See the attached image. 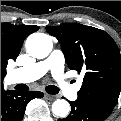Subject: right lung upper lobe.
Returning a JSON list of instances; mask_svg holds the SVG:
<instances>
[{
    "label": "right lung upper lobe",
    "mask_w": 121,
    "mask_h": 121,
    "mask_svg": "<svg viewBox=\"0 0 121 121\" xmlns=\"http://www.w3.org/2000/svg\"><path fill=\"white\" fill-rule=\"evenodd\" d=\"M38 29V26L33 25L1 23V90H3V78L6 75L7 61L17 58L24 39Z\"/></svg>",
    "instance_id": "right-lung-upper-lobe-1"
}]
</instances>
